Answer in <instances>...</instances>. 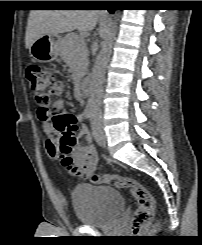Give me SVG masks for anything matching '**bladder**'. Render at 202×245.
I'll list each match as a JSON object with an SVG mask.
<instances>
[{
    "label": "bladder",
    "mask_w": 202,
    "mask_h": 245,
    "mask_svg": "<svg viewBox=\"0 0 202 245\" xmlns=\"http://www.w3.org/2000/svg\"><path fill=\"white\" fill-rule=\"evenodd\" d=\"M123 195L114 188L79 184L72 194V205L78 221L100 227L110 223L124 208Z\"/></svg>",
    "instance_id": "bladder-1"
}]
</instances>
